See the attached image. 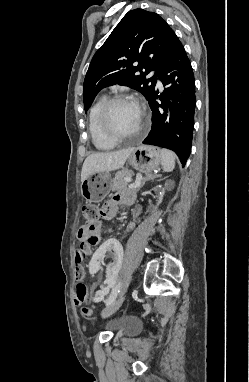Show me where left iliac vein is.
I'll list each match as a JSON object with an SVG mask.
<instances>
[{"instance_id": "obj_1", "label": "left iliac vein", "mask_w": 249, "mask_h": 382, "mask_svg": "<svg viewBox=\"0 0 249 382\" xmlns=\"http://www.w3.org/2000/svg\"><path fill=\"white\" fill-rule=\"evenodd\" d=\"M124 300H125V295H122L117 300L107 305V307L101 313L102 317L105 318L115 313L121 307Z\"/></svg>"}]
</instances>
